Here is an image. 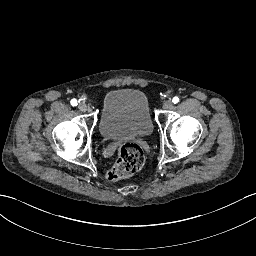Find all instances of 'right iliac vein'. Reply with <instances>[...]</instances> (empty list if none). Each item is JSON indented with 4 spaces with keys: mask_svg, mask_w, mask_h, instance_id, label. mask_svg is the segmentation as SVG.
Listing matches in <instances>:
<instances>
[{
    "mask_svg": "<svg viewBox=\"0 0 256 256\" xmlns=\"http://www.w3.org/2000/svg\"><path fill=\"white\" fill-rule=\"evenodd\" d=\"M78 108H79V110H80L81 112H86V111H87V105H86V103H84V102L80 103L79 106H78Z\"/></svg>",
    "mask_w": 256,
    "mask_h": 256,
    "instance_id": "63e3f726",
    "label": "right iliac vein"
}]
</instances>
